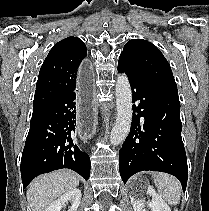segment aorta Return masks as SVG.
<instances>
[{
	"label": "aorta",
	"mask_w": 209,
	"mask_h": 211,
	"mask_svg": "<svg viewBox=\"0 0 209 211\" xmlns=\"http://www.w3.org/2000/svg\"><path fill=\"white\" fill-rule=\"evenodd\" d=\"M115 91L117 117L110 134V143L117 146L128 136L132 121V92L125 74L118 75Z\"/></svg>",
	"instance_id": "obj_1"
}]
</instances>
